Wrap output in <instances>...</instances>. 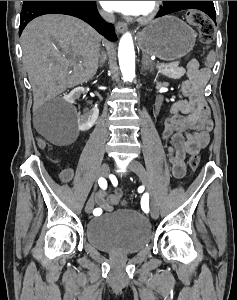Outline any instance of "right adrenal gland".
Wrapping results in <instances>:
<instances>
[{"label": "right adrenal gland", "instance_id": "1", "mask_svg": "<svg viewBox=\"0 0 237 300\" xmlns=\"http://www.w3.org/2000/svg\"><path fill=\"white\" fill-rule=\"evenodd\" d=\"M105 61H107V55H106V53H104V51H102L101 59L99 61V67H103Z\"/></svg>", "mask_w": 237, "mask_h": 300}]
</instances>
